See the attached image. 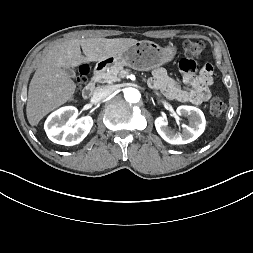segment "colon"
Masks as SVG:
<instances>
[{
    "instance_id": "5ec220e1",
    "label": "colon",
    "mask_w": 253,
    "mask_h": 253,
    "mask_svg": "<svg viewBox=\"0 0 253 253\" xmlns=\"http://www.w3.org/2000/svg\"><path fill=\"white\" fill-rule=\"evenodd\" d=\"M184 58H201L207 54L208 48L203 41H186L183 45ZM183 58V59H184ZM90 66L82 64L76 71V83L79 88H82L88 80L90 74ZM225 110V103L220 98H213L209 104V111L213 116H221Z\"/></svg>"
}]
</instances>
